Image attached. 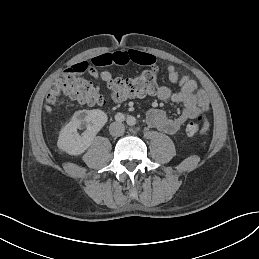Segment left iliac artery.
Segmentation results:
<instances>
[{"label":"left iliac artery","instance_id":"left-iliac-artery-1","mask_svg":"<svg viewBox=\"0 0 259 259\" xmlns=\"http://www.w3.org/2000/svg\"><path fill=\"white\" fill-rule=\"evenodd\" d=\"M126 122L129 126H134L136 124V118L133 116H128Z\"/></svg>","mask_w":259,"mask_h":259}]
</instances>
